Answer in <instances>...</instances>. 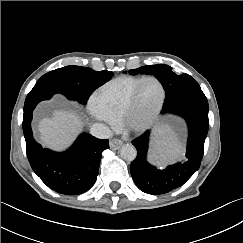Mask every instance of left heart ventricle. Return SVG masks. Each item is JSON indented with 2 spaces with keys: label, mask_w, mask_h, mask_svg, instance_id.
<instances>
[{
  "label": "left heart ventricle",
  "mask_w": 243,
  "mask_h": 243,
  "mask_svg": "<svg viewBox=\"0 0 243 243\" xmlns=\"http://www.w3.org/2000/svg\"><path fill=\"white\" fill-rule=\"evenodd\" d=\"M161 95L159 85L149 81L142 87L132 111V120L140 121L158 103Z\"/></svg>",
  "instance_id": "1"
}]
</instances>
